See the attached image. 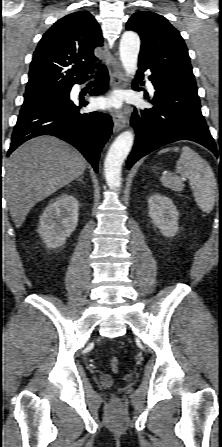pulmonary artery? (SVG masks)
<instances>
[{"instance_id": "obj_1", "label": "pulmonary artery", "mask_w": 222, "mask_h": 447, "mask_svg": "<svg viewBox=\"0 0 222 447\" xmlns=\"http://www.w3.org/2000/svg\"><path fill=\"white\" fill-rule=\"evenodd\" d=\"M147 84H148L149 90H150L151 92H153V91H154V88H153L152 83L148 80V81H147Z\"/></svg>"}]
</instances>
